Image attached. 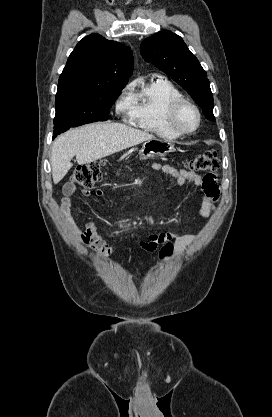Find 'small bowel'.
<instances>
[{
  "mask_svg": "<svg viewBox=\"0 0 272 417\" xmlns=\"http://www.w3.org/2000/svg\"><path fill=\"white\" fill-rule=\"evenodd\" d=\"M151 167L154 170H161L163 173L170 175L179 185L184 184L186 181H190L194 185L200 187L201 208L199 214L202 217L210 215L214 208L213 202L219 197V187L214 174H207L202 177L193 171L177 169L169 164H160L157 162H153ZM75 192L76 185L74 183L67 182L64 185L63 198L60 205L61 215L82 243H84L98 257L107 259L113 253L114 249L101 238L97 232L94 222L88 221L85 223L84 228L80 229L71 214ZM93 193L98 197L103 195V191L101 189H97L95 192H93L90 188H84L82 190V194L86 197L93 195ZM172 240H174L176 255L179 257L182 255L187 246L196 241V237L182 231H167L150 235L146 240L141 241L140 245L142 247L151 248L153 252L167 241Z\"/></svg>",
  "mask_w": 272,
  "mask_h": 417,
  "instance_id": "1",
  "label": "small bowel"
}]
</instances>
